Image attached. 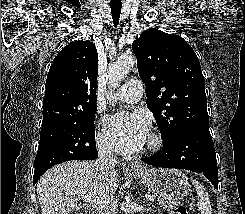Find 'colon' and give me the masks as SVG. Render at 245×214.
Listing matches in <instances>:
<instances>
[{"instance_id": "1", "label": "colon", "mask_w": 245, "mask_h": 214, "mask_svg": "<svg viewBox=\"0 0 245 214\" xmlns=\"http://www.w3.org/2000/svg\"><path fill=\"white\" fill-rule=\"evenodd\" d=\"M171 214H189L185 205L180 204L171 208Z\"/></svg>"}]
</instances>
